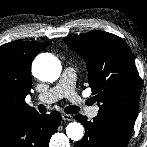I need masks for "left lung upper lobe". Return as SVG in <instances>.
Masks as SVG:
<instances>
[{
  "label": "left lung upper lobe",
  "instance_id": "obj_1",
  "mask_svg": "<svg viewBox=\"0 0 147 147\" xmlns=\"http://www.w3.org/2000/svg\"><path fill=\"white\" fill-rule=\"evenodd\" d=\"M64 42L86 62L89 86L99 105L97 117L131 136L141 87L129 47L118 36L97 30Z\"/></svg>",
  "mask_w": 147,
  "mask_h": 147
}]
</instances>
